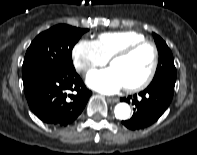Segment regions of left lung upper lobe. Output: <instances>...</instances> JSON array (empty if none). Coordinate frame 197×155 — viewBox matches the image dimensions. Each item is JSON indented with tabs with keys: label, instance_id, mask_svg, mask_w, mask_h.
Returning <instances> with one entry per match:
<instances>
[{
	"label": "left lung upper lobe",
	"instance_id": "obj_1",
	"mask_svg": "<svg viewBox=\"0 0 197 155\" xmlns=\"http://www.w3.org/2000/svg\"><path fill=\"white\" fill-rule=\"evenodd\" d=\"M153 37L159 53V63L156 73L151 84L167 83L175 85L176 68L174 66L173 55L164 40L157 34L153 33Z\"/></svg>",
	"mask_w": 197,
	"mask_h": 155
}]
</instances>
